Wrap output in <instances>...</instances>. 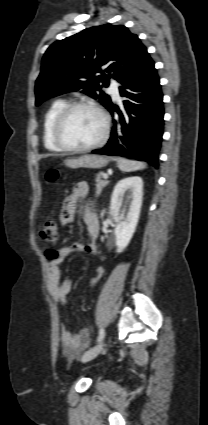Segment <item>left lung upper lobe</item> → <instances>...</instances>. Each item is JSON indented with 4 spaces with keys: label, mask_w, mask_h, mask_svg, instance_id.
I'll list each match as a JSON object with an SVG mask.
<instances>
[{
    "label": "left lung upper lobe",
    "mask_w": 208,
    "mask_h": 425,
    "mask_svg": "<svg viewBox=\"0 0 208 425\" xmlns=\"http://www.w3.org/2000/svg\"><path fill=\"white\" fill-rule=\"evenodd\" d=\"M146 53L138 36L124 25L94 26L58 40L43 56L35 85L36 105L50 97L82 90L108 108L111 98L101 88L109 85L110 77L121 83Z\"/></svg>",
    "instance_id": "left-lung-upper-lobe-1"
}]
</instances>
